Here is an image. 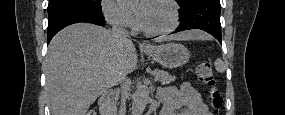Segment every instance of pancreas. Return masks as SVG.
I'll use <instances>...</instances> for the list:
<instances>
[{"instance_id":"cf45deb5","label":"pancreas","mask_w":285,"mask_h":115,"mask_svg":"<svg viewBox=\"0 0 285 115\" xmlns=\"http://www.w3.org/2000/svg\"><path fill=\"white\" fill-rule=\"evenodd\" d=\"M152 74L155 76L156 80H159L162 83V85L170 84L171 82L176 80L175 76H172L163 70L156 69L152 72ZM117 98H118L117 92H114L112 96V102L114 104L116 103Z\"/></svg>"}]
</instances>
